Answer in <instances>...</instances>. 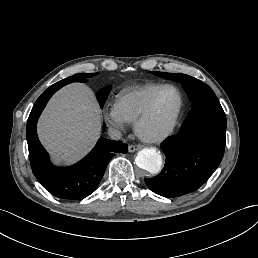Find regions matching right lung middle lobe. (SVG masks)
<instances>
[{
    "instance_id": "1",
    "label": "right lung middle lobe",
    "mask_w": 258,
    "mask_h": 258,
    "mask_svg": "<svg viewBox=\"0 0 258 258\" xmlns=\"http://www.w3.org/2000/svg\"><path fill=\"white\" fill-rule=\"evenodd\" d=\"M79 76H83V77H93L95 75H97V73H89V74H77ZM111 87H106L103 88L102 90H100L97 94V100L99 102V105L101 108H103L105 101L110 93Z\"/></svg>"
}]
</instances>
